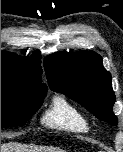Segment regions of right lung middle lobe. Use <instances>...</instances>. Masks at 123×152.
I'll list each match as a JSON object with an SVG mask.
<instances>
[{"instance_id": "right-lung-middle-lobe-1", "label": "right lung middle lobe", "mask_w": 123, "mask_h": 152, "mask_svg": "<svg viewBox=\"0 0 123 152\" xmlns=\"http://www.w3.org/2000/svg\"><path fill=\"white\" fill-rule=\"evenodd\" d=\"M46 92L20 90L1 82V126L23 125L41 107Z\"/></svg>"}]
</instances>
